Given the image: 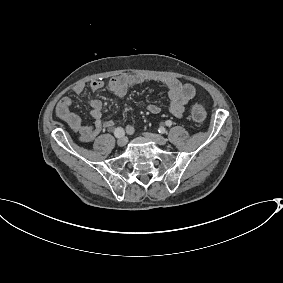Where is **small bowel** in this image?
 I'll list each match as a JSON object with an SVG mask.
<instances>
[{"instance_id":"obj_1","label":"small bowel","mask_w":283,"mask_h":283,"mask_svg":"<svg viewBox=\"0 0 283 283\" xmlns=\"http://www.w3.org/2000/svg\"><path fill=\"white\" fill-rule=\"evenodd\" d=\"M150 81L162 83L168 91L169 112L176 118L182 117L185 106L195 96V88L190 83H182L174 77L151 78L141 74H120L112 77L108 82L110 91L119 98H124L130 87L143 84ZM104 82L96 79L90 82L89 89L93 92L103 88ZM85 84L80 83L75 86L74 92L81 94L85 90ZM90 106V116L93 119V125L85 124L81 117L72 111V101L68 97H63L56 106V115L64 121L73 131L79 133L83 142L92 141L97 134L105 129L112 130L116 127L124 128L127 134H132L134 128L130 124L121 125L113 120H104L102 117V102L98 99L88 101ZM147 111L151 114L160 113L161 109L157 104H148Z\"/></svg>"}]
</instances>
